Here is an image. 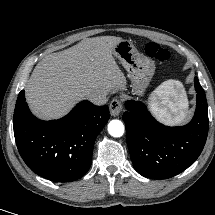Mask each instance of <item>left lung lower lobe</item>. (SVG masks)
<instances>
[{"mask_svg":"<svg viewBox=\"0 0 215 215\" xmlns=\"http://www.w3.org/2000/svg\"><path fill=\"white\" fill-rule=\"evenodd\" d=\"M197 104L193 119L169 127L154 119L145 104L128 100L123 114L132 163L151 179L171 178L187 169L200 155L208 134V107L204 89L194 78Z\"/></svg>","mask_w":215,"mask_h":215,"instance_id":"1","label":"left lung lower lobe"}]
</instances>
